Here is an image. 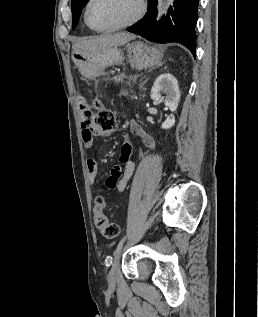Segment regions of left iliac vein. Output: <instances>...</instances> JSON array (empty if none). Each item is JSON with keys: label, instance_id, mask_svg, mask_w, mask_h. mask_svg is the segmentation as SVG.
Segmentation results:
<instances>
[{"label": "left iliac vein", "instance_id": "obj_1", "mask_svg": "<svg viewBox=\"0 0 258 317\" xmlns=\"http://www.w3.org/2000/svg\"><path fill=\"white\" fill-rule=\"evenodd\" d=\"M126 245L128 244L127 242L125 243ZM123 245L124 247L126 246V245ZM121 247V249H118V254H117V256H116V259H115V263L113 264V266H112V270L109 272V278H116L117 277V269L121 266V261H120V259H121V256H120V254H123V248L124 247Z\"/></svg>", "mask_w": 258, "mask_h": 317}]
</instances>
